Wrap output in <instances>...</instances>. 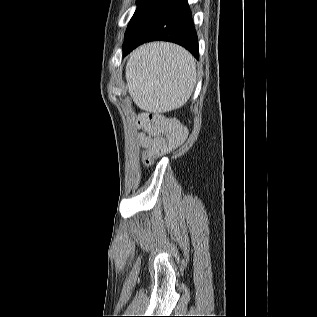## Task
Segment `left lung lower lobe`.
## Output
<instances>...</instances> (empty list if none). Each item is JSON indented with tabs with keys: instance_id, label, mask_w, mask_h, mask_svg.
Segmentation results:
<instances>
[{
	"instance_id": "1",
	"label": "left lung lower lobe",
	"mask_w": 317,
	"mask_h": 317,
	"mask_svg": "<svg viewBox=\"0 0 317 317\" xmlns=\"http://www.w3.org/2000/svg\"><path fill=\"white\" fill-rule=\"evenodd\" d=\"M169 41L186 48L199 59L198 41L187 0H167L123 45L124 56L150 41Z\"/></svg>"
}]
</instances>
